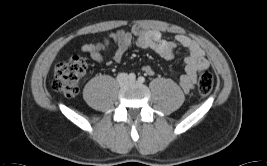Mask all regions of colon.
<instances>
[{"instance_id": "colon-1", "label": "colon", "mask_w": 267, "mask_h": 166, "mask_svg": "<svg viewBox=\"0 0 267 166\" xmlns=\"http://www.w3.org/2000/svg\"><path fill=\"white\" fill-rule=\"evenodd\" d=\"M87 64L81 57H73L59 63L54 69L52 87L55 91L67 97L75 96L86 72ZM213 89V77L208 70H201L198 78V91L201 97L206 98Z\"/></svg>"}]
</instances>
